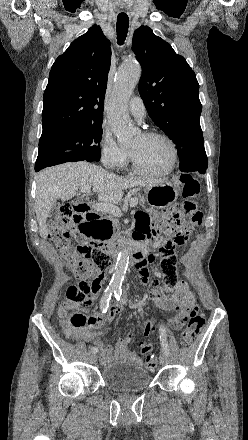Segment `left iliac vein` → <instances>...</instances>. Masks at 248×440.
<instances>
[{"mask_svg":"<svg viewBox=\"0 0 248 440\" xmlns=\"http://www.w3.org/2000/svg\"><path fill=\"white\" fill-rule=\"evenodd\" d=\"M160 363H161L162 365H166V364L169 363V356H168V354H166V353L163 352V353L160 355Z\"/></svg>","mask_w":248,"mask_h":440,"instance_id":"obj_1","label":"left iliac vein"}]
</instances>
